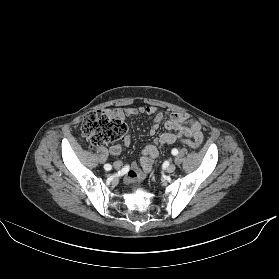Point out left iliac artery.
<instances>
[{
    "instance_id": "44dca946",
    "label": "left iliac artery",
    "mask_w": 279,
    "mask_h": 279,
    "mask_svg": "<svg viewBox=\"0 0 279 279\" xmlns=\"http://www.w3.org/2000/svg\"><path fill=\"white\" fill-rule=\"evenodd\" d=\"M171 153H172L173 155H177V154H178V150L174 148V149H172Z\"/></svg>"
}]
</instances>
